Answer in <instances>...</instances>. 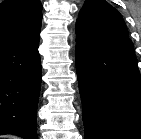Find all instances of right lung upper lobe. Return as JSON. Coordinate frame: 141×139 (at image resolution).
Instances as JSON below:
<instances>
[{
  "label": "right lung upper lobe",
  "mask_w": 141,
  "mask_h": 139,
  "mask_svg": "<svg viewBox=\"0 0 141 139\" xmlns=\"http://www.w3.org/2000/svg\"><path fill=\"white\" fill-rule=\"evenodd\" d=\"M42 4L39 0H5L0 4V48L40 34Z\"/></svg>",
  "instance_id": "cb5924a9"
}]
</instances>
